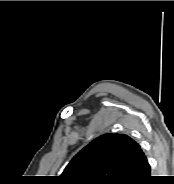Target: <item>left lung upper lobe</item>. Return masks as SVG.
<instances>
[{
  "label": "left lung upper lobe",
  "mask_w": 174,
  "mask_h": 184,
  "mask_svg": "<svg viewBox=\"0 0 174 184\" xmlns=\"http://www.w3.org/2000/svg\"><path fill=\"white\" fill-rule=\"evenodd\" d=\"M140 146L124 134H104L83 148L61 175L66 184H126Z\"/></svg>",
  "instance_id": "obj_1"
}]
</instances>
